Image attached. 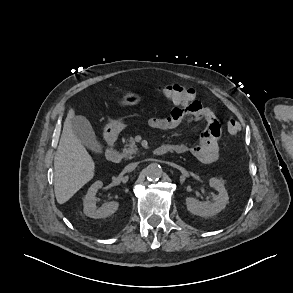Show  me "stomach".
Wrapping results in <instances>:
<instances>
[{"mask_svg":"<svg viewBox=\"0 0 293 293\" xmlns=\"http://www.w3.org/2000/svg\"><path fill=\"white\" fill-rule=\"evenodd\" d=\"M141 97L135 93H127L119 100V105L126 107V106H133L140 103ZM125 128V124L121 120H113L109 123L105 131L107 134L113 136L118 135L123 129Z\"/></svg>","mask_w":293,"mask_h":293,"instance_id":"1","label":"stomach"}]
</instances>
